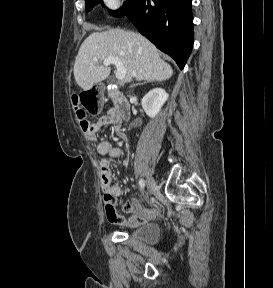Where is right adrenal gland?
I'll return each instance as SVG.
<instances>
[{
  "mask_svg": "<svg viewBox=\"0 0 273 288\" xmlns=\"http://www.w3.org/2000/svg\"><path fill=\"white\" fill-rule=\"evenodd\" d=\"M148 82H153V80H146V81H144V82H142V83L134 84V85H132L131 87H134V86L139 85V84L148 83Z\"/></svg>",
  "mask_w": 273,
  "mask_h": 288,
  "instance_id": "1",
  "label": "right adrenal gland"
}]
</instances>
